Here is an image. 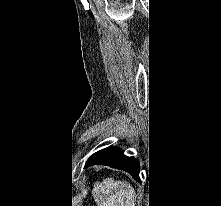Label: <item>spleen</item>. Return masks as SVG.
Listing matches in <instances>:
<instances>
[{"instance_id": "spleen-1", "label": "spleen", "mask_w": 221, "mask_h": 206, "mask_svg": "<svg viewBox=\"0 0 221 206\" xmlns=\"http://www.w3.org/2000/svg\"><path fill=\"white\" fill-rule=\"evenodd\" d=\"M98 206H135L134 188L127 182L112 178L103 180L98 190L93 191Z\"/></svg>"}]
</instances>
